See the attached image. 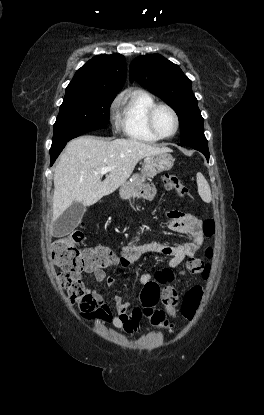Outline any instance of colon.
<instances>
[{"label":"colon","mask_w":264,"mask_h":415,"mask_svg":"<svg viewBox=\"0 0 264 415\" xmlns=\"http://www.w3.org/2000/svg\"><path fill=\"white\" fill-rule=\"evenodd\" d=\"M164 186L175 191L181 198L187 196V189L182 184L180 178L172 173L163 176ZM216 233V223L211 217L203 221V234L207 238H212ZM85 237L83 229L61 237L52 245L51 253L55 266L60 269L57 281L60 287L66 292L68 302L76 307L83 315H91L97 312V303L87 289L86 284L81 279L80 274L87 268H100L113 264L117 256L105 248L94 247L81 250L79 245ZM206 258L213 257V249L206 250ZM202 260L190 258L179 272L192 273L199 270ZM203 276L208 277L209 265H203ZM176 274L170 269L160 271L154 280L146 283L140 294V307L142 317L149 319L156 326L168 327L170 322L166 315L173 317L178 311V291L173 286ZM201 286H194L187 291L180 306L182 317L190 321L194 318L203 298ZM161 303L164 310H158L156 306Z\"/></svg>","instance_id":"colon-1"}]
</instances>
